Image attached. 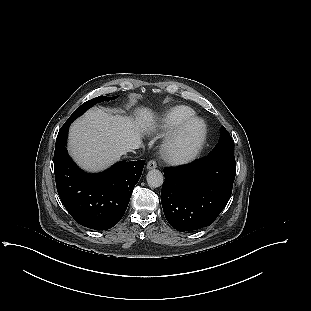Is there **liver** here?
Here are the masks:
<instances>
[{"mask_svg":"<svg viewBox=\"0 0 311 311\" xmlns=\"http://www.w3.org/2000/svg\"><path fill=\"white\" fill-rule=\"evenodd\" d=\"M136 113L134 120L99 108L87 111L70 127V155L83 169L97 172L111 166L126 152L138 149L143 135L155 128V115L148 108Z\"/></svg>","mask_w":311,"mask_h":311,"instance_id":"6515ba94","label":"liver"}]
</instances>
